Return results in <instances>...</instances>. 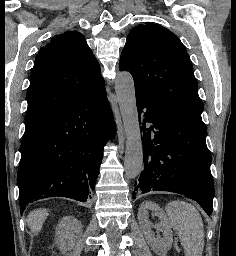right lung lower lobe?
<instances>
[{"label": "right lung lower lobe", "mask_w": 236, "mask_h": 256, "mask_svg": "<svg viewBox=\"0 0 236 256\" xmlns=\"http://www.w3.org/2000/svg\"><path fill=\"white\" fill-rule=\"evenodd\" d=\"M113 135L105 87L25 130L17 175L21 214L28 204L48 197L85 202Z\"/></svg>", "instance_id": "obj_1"}]
</instances>
